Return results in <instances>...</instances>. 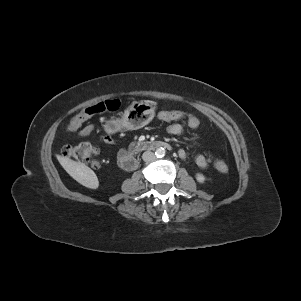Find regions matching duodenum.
<instances>
[{
  "label": "duodenum",
  "instance_id": "obj_1",
  "mask_svg": "<svg viewBox=\"0 0 301 301\" xmlns=\"http://www.w3.org/2000/svg\"><path fill=\"white\" fill-rule=\"evenodd\" d=\"M158 148L171 149V146L164 141L154 140V141H144L139 143L133 150L126 153L120 161V166L124 170L131 171L137 166V155L140 152L155 150Z\"/></svg>",
  "mask_w": 301,
  "mask_h": 301
}]
</instances>
